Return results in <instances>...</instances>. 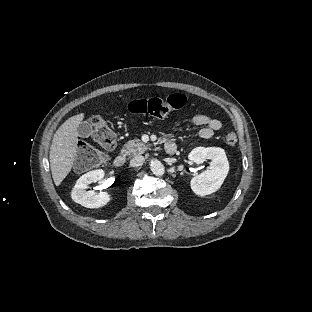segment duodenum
<instances>
[{"label":"duodenum","mask_w":312,"mask_h":312,"mask_svg":"<svg viewBox=\"0 0 312 312\" xmlns=\"http://www.w3.org/2000/svg\"><path fill=\"white\" fill-rule=\"evenodd\" d=\"M163 149L166 153L170 155H174L177 153V146L172 142H165L163 145ZM126 160H127V153L123 151L115 157L113 161L114 166L117 168H122L125 166Z\"/></svg>","instance_id":"obj_1"}]
</instances>
